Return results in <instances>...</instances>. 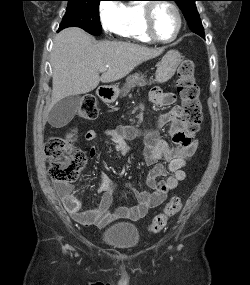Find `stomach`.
Here are the masks:
<instances>
[{
	"label": "stomach",
	"instance_id": "0dacf381",
	"mask_svg": "<svg viewBox=\"0 0 250 285\" xmlns=\"http://www.w3.org/2000/svg\"><path fill=\"white\" fill-rule=\"evenodd\" d=\"M181 63V54L176 50L168 51L159 63L156 73L155 81L157 83L163 84L168 82L175 74L177 67ZM118 96V89L114 88L112 90L111 96H109L110 101H114Z\"/></svg>",
	"mask_w": 250,
	"mask_h": 285
}]
</instances>
